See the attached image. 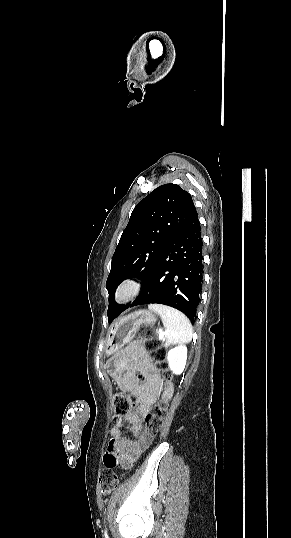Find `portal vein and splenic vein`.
Listing matches in <instances>:
<instances>
[{
	"instance_id": "18ae733b",
	"label": "portal vein and splenic vein",
	"mask_w": 291,
	"mask_h": 538,
	"mask_svg": "<svg viewBox=\"0 0 291 538\" xmlns=\"http://www.w3.org/2000/svg\"><path fill=\"white\" fill-rule=\"evenodd\" d=\"M165 335H167V332L159 331V339L160 340L164 339Z\"/></svg>"
}]
</instances>
